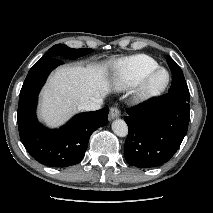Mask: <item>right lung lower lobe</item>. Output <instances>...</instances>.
<instances>
[{
	"mask_svg": "<svg viewBox=\"0 0 213 213\" xmlns=\"http://www.w3.org/2000/svg\"><path fill=\"white\" fill-rule=\"evenodd\" d=\"M63 64L58 58L38 62L30 69L19 95L17 111L21 142L38 162L50 167H68L79 163L91 134L108 122V108L80 113L59 130L43 127L36 117L38 94L49 73Z\"/></svg>",
	"mask_w": 213,
	"mask_h": 213,
	"instance_id": "98d812e1",
	"label": "right lung lower lobe"
}]
</instances>
